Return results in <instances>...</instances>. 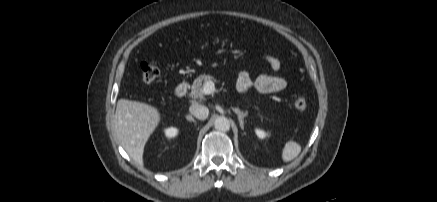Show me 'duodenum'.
Here are the masks:
<instances>
[{
    "label": "duodenum",
    "instance_id": "duodenum-1",
    "mask_svg": "<svg viewBox=\"0 0 437 202\" xmlns=\"http://www.w3.org/2000/svg\"><path fill=\"white\" fill-rule=\"evenodd\" d=\"M187 91H188V83L184 81L176 86L174 92L177 97H183L186 95Z\"/></svg>",
    "mask_w": 437,
    "mask_h": 202
}]
</instances>
